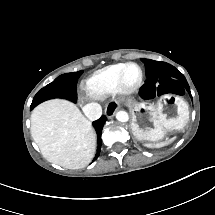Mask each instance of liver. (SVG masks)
<instances>
[{"mask_svg": "<svg viewBox=\"0 0 215 215\" xmlns=\"http://www.w3.org/2000/svg\"><path fill=\"white\" fill-rule=\"evenodd\" d=\"M31 136L43 157L67 169H80L94 158L97 136L77 104L52 98L31 112Z\"/></svg>", "mask_w": 215, "mask_h": 215, "instance_id": "obj_1", "label": "liver"}]
</instances>
